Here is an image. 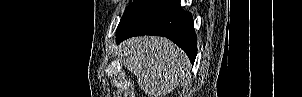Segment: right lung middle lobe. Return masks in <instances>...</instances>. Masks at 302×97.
Wrapping results in <instances>:
<instances>
[{"mask_svg":"<svg viewBox=\"0 0 302 97\" xmlns=\"http://www.w3.org/2000/svg\"><path fill=\"white\" fill-rule=\"evenodd\" d=\"M146 0H134L132 4H130L122 16L120 23L118 25V29L127 21L128 18H130L145 2ZM117 29V30H118Z\"/></svg>","mask_w":302,"mask_h":97,"instance_id":"right-lung-middle-lobe-1","label":"right lung middle lobe"}]
</instances>
